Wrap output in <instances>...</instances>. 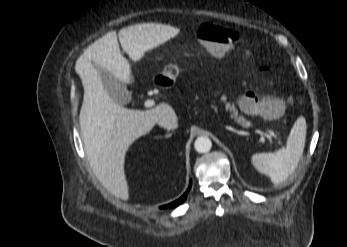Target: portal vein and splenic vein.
Returning a JSON list of instances; mask_svg holds the SVG:
<instances>
[{"mask_svg": "<svg viewBox=\"0 0 347 247\" xmlns=\"http://www.w3.org/2000/svg\"><path fill=\"white\" fill-rule=\"evenodd\" d=\"M154 105H155V102H154L153 100H146V101L144 102V106H145V107H152V106H154ZM267 132H268V134H269L271 137H276V135L274 134L273 131L268 130ZM260 142H261L262 144H264V143H265V139H264L263 137H261V138H260Z\"/></svg>", "mask_w": 347, "mask_h": 247, "instance_id": "portal-vein-and-splenic-vein-1", "label": "portal vein and splenic vein"}]
</instances>
